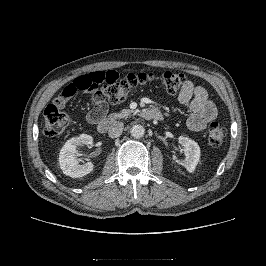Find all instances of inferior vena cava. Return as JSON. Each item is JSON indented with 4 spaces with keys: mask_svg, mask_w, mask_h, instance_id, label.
Returning <instances> with one entry per match:
<instances>
[{
    "mask_svg": "<svg viewBox=\"0 0 266 266\" xmlns=\"http://www.w3.org/2000/svg\"><path fill=\"white\" fill-rule=\"evenodd\" d=\"M124 124L120 121H115L109 128L108 134L111 138H117L122 134Z\"/></svg>",
    "mask_w": 266,
    "mask_h": 266,
    "instance_id": "602c4592",
    "label": "inferior vena cava"
}]
</instances>
